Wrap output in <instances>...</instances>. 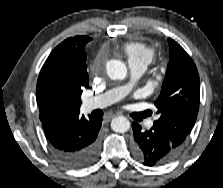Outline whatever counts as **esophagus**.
Listing matches in <instances>:
<instances>
[{
  "label": "esophagus",
  "mask_w": 223,
  "mask_h": 188,
  "mask_svg": "<svg viewBox=\"0 0 223 188\" xmlns=\"http://www.w3.org/2000/svg\"><path fill=\"white\" fill-rule=\"evenodd\" d=\"M113 117H114V115H113V116H109V117L107 118V121H110Z\"/></svg>",
  "instance_id": "34e87169"
}]
</instances>
